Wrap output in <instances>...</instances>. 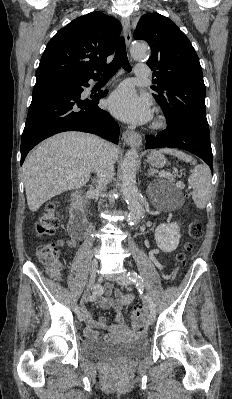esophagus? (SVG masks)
Listing matches in <instances>:
<instances>
[{
    "instance_id": "obj_1",
    "label": "esophagus",
    "mask_w": 232,
    "mask_h": 399,
    "mask_svg": "<svg viewBox=\"0 0 232 399\" xmlns=\"http://www.w3.org/2000/svg\"><path fill=\"white\" fill-rule=\"evenodd\" d=\"M121 24L123 27L125 43L126 46L128 47L132 40L130 22L128 18L126 17L122 18ZM123 139L127 145L135 147H138L142 143V136L138 132H135L134 130H126V132L123 133Z\"/></svg>"
}]
</instances>
